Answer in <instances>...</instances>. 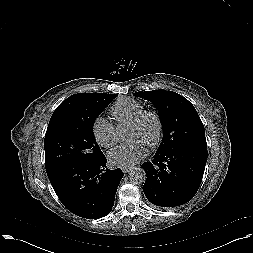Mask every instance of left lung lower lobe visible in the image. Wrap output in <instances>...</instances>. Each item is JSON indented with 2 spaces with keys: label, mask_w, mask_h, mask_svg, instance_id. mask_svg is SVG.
Masks as SVG:
<instances>
[{
  "label": "left lung lower lobe",
  "mask_w": 253,
  "mask_h": 253,
  "mask_svg": "<svg viewBox=\"0 0 253 253\" xmlns=\"http://www.w3.org/2000/svg\"><path fill=\"white\" fill-rule=\"evenodd\" d=\"M207 149L198 145H179L157 153L141 167L146 172L143 192L159 207H176L189 202L198 191L205 165Z\"/></svg>",
  "instance_id": "1"
}]
</instances>
